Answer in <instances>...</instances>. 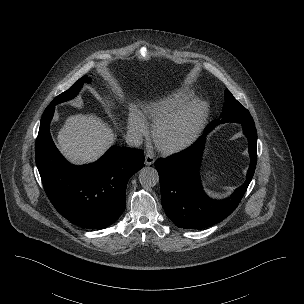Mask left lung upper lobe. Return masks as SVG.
Returning a JSON list of instances; mask_svg holds the SVG:
<instances>
[{"instance_id": "5c2ea615", "label": "left lung upper lobe", "mask_w": 304, "mask_h": 304, "mask_svg": "<svg viewBox=\"0 0 304 304\" xmlns=\"http://www.w3.org/2000/svg\"><path fill=\"white\" fill-rule=\"evenodd\" d=\"M221 122H238L254 124L253 118L249 111L242 106L230 93L228 89L225 90V103L222 111ZM220 121L213 120L210 124L218 125Z\"/></svg>"}]
</instances>
